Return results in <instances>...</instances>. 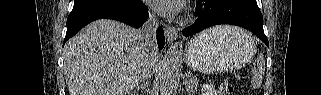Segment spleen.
Segmentation results:
<instances>
[{
  "mask_svg": "<svg viewBox=\"0 0 321 95\" xmlns=\"http://www.w3.org/2000/svg\"><path fill=\"white\" fill-rule=\"evenodd\" d=\"M216 29H219L221 33H226V32H229L230 30H234L233 28L228 26H220V27L212 28L208 32L210 33L214 32L216 31ZM252 71H253V76L251 79L252 86L254 88H259L263 82L264 73H265V60L262 54H259L257 59L255 60L252 67Z\"/></svg>",
  "mask_w": 321,
  "mask_h": 95,
  "instance_id": "obj_1",
  "label": "spleen"
}]
</instances>
